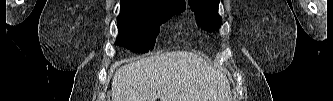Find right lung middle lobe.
Returning <instances> with one entry per match:
<instances>
[{
	"label": "right lung middle lobe",
	"instance_id": "1",
	"mask_svg": "<svg viewBox=\"0 0 333 101\" xmlns=\"http://www.w3.org/2000/svg\"><path fill=\"white\" fill-rule=\"evenodd\" d=\"M184 9V3L168 0H120L116 44L135 53L152 50L160 25Z\"/></svg>",
	"mask_w": 333,
	"mask_h": 101
}]
</instances>
